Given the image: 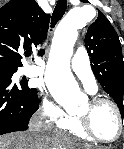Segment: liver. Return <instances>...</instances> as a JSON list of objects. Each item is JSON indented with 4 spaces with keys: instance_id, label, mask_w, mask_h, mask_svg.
I'll use <instances>...</instances> for the list:
<instances>
[{
    "instance_id": "6515ba94",
    "label": "liver",
    "mask_w": 124,
    "mask_h": 149,
    "mask_svg": "<svg viewBox=\"0 0 124 149\" xmlns=\"http://www.w3.org/2000/svg\"><path fill=\"white\" fill-rule=\"evenodd\" d=\"M49 141L44 134L37 139H31L29 132L11 133L0 136V149H45ZM85 149H91V146L86 145Z\"/></svg>"
}]
</instances>
